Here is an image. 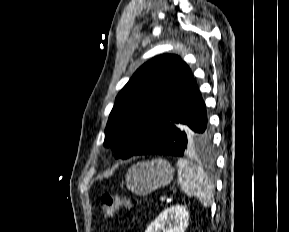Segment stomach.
I'll list each match as a JSON object with an SVG mask.
<instances>
[{
  "mask_svg": "<svg viewBox=\"0 0 289 232\" xmlns=\"http://www.w3.org/2000/svg\"><path fill=\"white\" fill-rule=\"evenodd\" d=\"M174 174V168L163 159L139 162L126 174V186L136 195H147L152 191L168 185Z\"/></svg>",
  "mask_w": 289,
  "mask_h": 232,
  "instance_id": "0dacf381",
  "label": "stomach"
}]
</instances>
